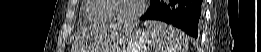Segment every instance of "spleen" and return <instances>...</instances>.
<instances>
[{
	"label": "spleen",
	"instance_id": "3e777b00",
	"mask_svg": "<svg viewBox=\"0 0 261 52\" xmlns=\"http://www.w3.org/2000/svg\"><path fill=\"white\" fill-rule=\"evenodd\" d=\"M154 52H186L188 38L180 30L159 21H146Z\"/></svg>",
	"mask_w": 261,
	"mask_h": 52
}]
</instances>
